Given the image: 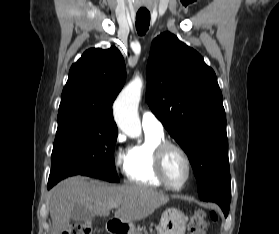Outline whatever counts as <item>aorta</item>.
Here are the masks:
<instances>
[{
  "instance_id": "762f6f07",
  "label": "aorta",
  "mask_w": 279,
  "mask_h": 234,
  "mask_svg": "<svg viewBox=\"0 0 279 234\" xmlns=\"http://www.w3.org/2000/svg\"><path fill=\"white\" fill-rule=\"evenodd\" d=\"M143 81L136 76L118 95L113 105L115 122L131 138L141 136V122L138 105L141 99Z\"/></svg>"
}]
</instances>
